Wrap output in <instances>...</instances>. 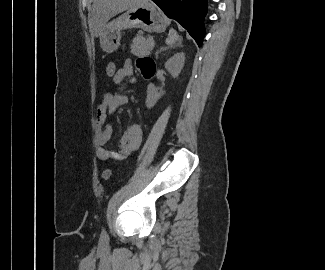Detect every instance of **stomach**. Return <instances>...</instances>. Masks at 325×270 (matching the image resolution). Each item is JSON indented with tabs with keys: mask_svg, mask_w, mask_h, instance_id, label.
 <instances>
[{
	"mask_svg": "<svg viewBox=\"0 0 325 270\" xmlns=\"http://www.w3.org/2000/svg\"><path fill=\"white\" fill-rule=\"evenodd\" d=\"M141 28L147 32L161 33L166 29V21L162 13L152 3H142L130 7L125 13L107 23L100 36L103 51L112 53L117 50L121 30Z\"/></svg>",
	"mask_w": 325,
	"mask_h": 270,
	"instance_id": "stomach-1",
	"label": "stomach"
}]
</instances>
